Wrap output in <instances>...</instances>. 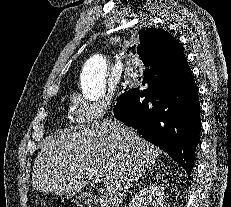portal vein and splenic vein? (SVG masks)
<instances>
[{"label": "portal vein and splenic vein", "mask_w": 231, "mask_h": 207, "mask_svg": "<svg viewBox=\"0 0 231 207\" xmlns=\"http://www.w3.org/2000/svg\"><path fill=\"white\" fill-rule=\"evenodd\" d=\"M99 181V179H95V182L97 183Z\"/></svg>", "instance_id": "1"}]
</instances>
